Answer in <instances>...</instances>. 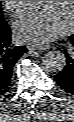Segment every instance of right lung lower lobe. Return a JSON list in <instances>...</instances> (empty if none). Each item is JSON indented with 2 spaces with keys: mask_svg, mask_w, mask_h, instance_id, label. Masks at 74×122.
<instances>
[{
  "mask_svg": "<svg viewBox=\"0 0 74 122\" xmlns=\"http://www.w3.org/2000/svg\"><path fill=\"white\" fill-rule=\"evenodd\" d=\"M26 52L25 46L11 45L10 28L0 20V95L8 91L13 66Z\"/></svg>",
  "mask_w": 74,
  "mask_h": 122,
  "instance_id": "right-lung-lower-lobe-1",
  "label": "right lung lower lobe"
}]
</instances>
